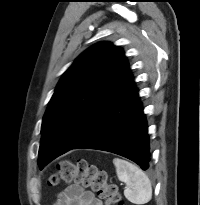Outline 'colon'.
<instances>
[{
	"label": "colon",
	"instance_id": "1",
	"mask_svg": "<svg viewBox=\"0 0 200 205\" xmlns=\"http://www.w3.org/2000/svg\"><path fill=\"white\" fill-rule=\"evenodd\" d=\"M48 183L50 186L76 183L96 192L106 205H123L118 188L108 181L107 173L84 159L75 163L67 160L59 162Z\"/></svg>",
	"mask_w": 200,
	"mask_h": 205
}]
</instances>
